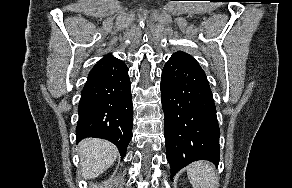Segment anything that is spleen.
<instances>
[{
    "label": "spleen",
    "mask_w": 292,
    "mask_h": 188,
    "mask_svg": "<svg viewBox=\"0 0 292 188\" xmlns=\"http://www.w3.org/2000/svg\"><path fill=\"white\" fill-rule=\"evenodd\" d=\"M188 178L193 188H216L218 184L214 167L207 161H197L187 167Z\"/></svg>",
    "instance_id": "obj_1"
}]
</instances>
